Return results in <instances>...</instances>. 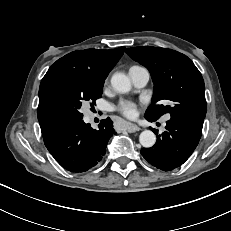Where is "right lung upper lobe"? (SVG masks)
Returning a JSON list of instances; mask_svg holds the SVG:
<instances>
[{"label":"right lung upper lobe","mask_w":231,"mask_h":231,"mask_svg":"<svg viewBox=\"0 0 231 231\" xmlns=\"http://www.w3.org/2000/svg\"><path fill=\"white\" fill-rule=\"evenodd\" d=\"M125 47L111 50L86 49L71 52L57 60L47 71L39 88L37 115L42 136L65 124L51 102L54 82L67 72H84L106 79L124 53Z\"/></svg>","instance_id":"obj_1"}]
</instances>
